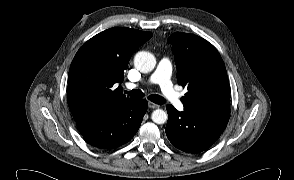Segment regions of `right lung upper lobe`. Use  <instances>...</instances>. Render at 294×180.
<instances>
[{
  "label": "right lung upper lobe",
  "instance_id": "cb5924a9",
  "mask_svg": "<svg viewBox=\"0 0 294 180\" xmlns=\"http://www.w3.org/2000/svg\"><path fill=\"white\" fill-rule=\"evenodd\" d=\"M150 32L115 27L88 40L76 53L69 70L67 101L75 121L104 112L128 100L121 87L129 59L152 37Z\"/></svg>",
  "mask_w": 294,
  "mask_h": 180
}]
</instances>
